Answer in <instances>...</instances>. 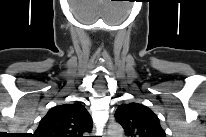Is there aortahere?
I'll return each instance as SVG.
<instances>
[{
  "instance_id": "obj_1",
  "label": "aorta",
  "mask_w": 206,
  "mask_h": 137,
  "mask_svg": "<svg viewBox=\"0 0 206 137\" xmlns=\"http://www.w3.org/2000/svg\"><path fill=\"white\" fill-rule=\"evenodd\" d=\"M123 135V128L119 124H111L108 128L109 137H121Z\"/></svg>"
}]
</instances>
